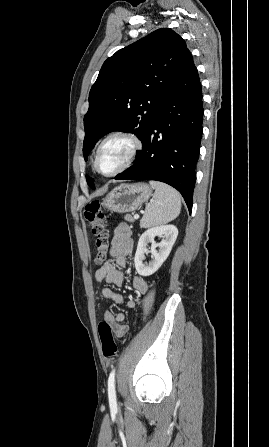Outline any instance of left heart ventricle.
Returning a JSON list of instances; mask_svg holds the SVG:
<instances>
[{"label":"left heart ventricle","instance_id":"left-heart-ventricle-1","mask_svg":"<svg viewBox=\"0 0 269 447\" xmlns=\"http://www.w3.org/2000/svg\"><path fill=\"white\" fill-rule=\"evenodd\" d=\"M133 143L126 137H115L109 140L99 155V169L110 172L120 167L128 158Z\"/></svg>","mask_w":269,"mask_h":447}]
</instances>
